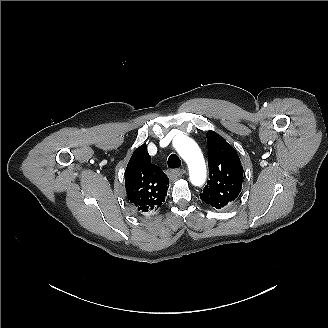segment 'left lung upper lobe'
Listing matches in <instances>:
<instances>
[{"instance_id":"obj_1","label":"left lung upper lobe","mask_w":328,"mask_h":328,"mask_svg":"<svg viewBox=\"0 0 328 328\" xmlns=\"http://www.w3.org/2000/svg\"><path fill=\"white\" fill-rule=\"evenodd\" d=\"M209 181L200 199L221 209L234 201L242 187L243 167L235 149L214 131L207 133Z\"/></svg>"}]
</instances>
